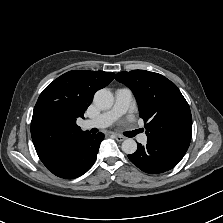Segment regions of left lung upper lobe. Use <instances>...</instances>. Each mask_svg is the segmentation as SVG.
Instances as JSON below:
<instances>
[{
  "label": "left lung upper lobe",
  "mask_w": 223,
  "mask_h": 223,
  "mask_svg": "<svg viewBox=\"0 0 223 223\" xmlns=\"http://www.w3.org/2000/svg\"><path fill=\"white\" fill-rule=\"evenodd\" d=\"M116 80L134 93L148 140L186 152L191 141L192 116L177 86L163 75L145 70L119 72Z\"/></svg>",
  "instance_id": "1"
}]
</instances>
